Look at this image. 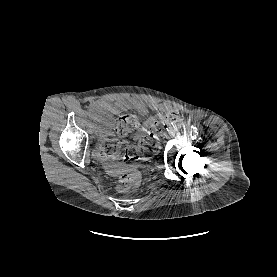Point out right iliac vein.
I'll return each instance as SVG.
<instances>
[{
  "label": "right iliac vein",
  "instance_id": "right-iliac-vein-1",
  "mask_svg": "<svg viewBox=\"0 0 277 277\" xmlns=\"http://www.w3.org/2000/svg\"><path fill=\"white\" fill-rule=\"evenodd\" d=\"M94 133H95V135H98L99 129L97 127L94 128Z\"/></svg>",
  "mask_w": 277,
  "mask_h": 277
}]
</instances>
